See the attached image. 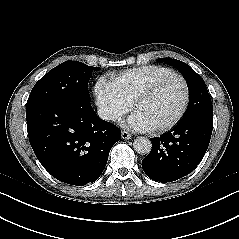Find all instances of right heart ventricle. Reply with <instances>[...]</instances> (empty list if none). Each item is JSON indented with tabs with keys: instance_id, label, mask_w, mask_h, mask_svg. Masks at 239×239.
I'll list each match as a JSON object with an SVG mask.
<instances>
[{
	"instance_id": "right-heart-ventricle-1",
	"label": "right heart ventricle",
	"mask_w": 239,
	"mask_h": 239,
	"mask_svg": "<svg viewBox=\"0 0 239 239\" xmlns=\"http://www.w3.org/2000/svg\"><path fill=\"white\" fill-rule=\"evenodd\" d=\"M172 70L160 65H145L112 74V84L122 98L131 103L135 94L159 76Z\"/></svg>"
}]
</instances>
